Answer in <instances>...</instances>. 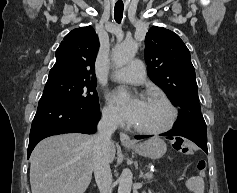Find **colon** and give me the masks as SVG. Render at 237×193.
I'll use <instances>...</instances> for the list:
<instances>
[{
	"mask_svg": "<svg viewBox=\"0 0 237 193\" xmlns=\"http://www.w3.org/2000/svg\"><path fill=\"white\" fill-rule=\"evenodd\" d=\"M172 147L182 153V154H193L194 146L193 143L182 137H175L171 139ZM197 170L201 177H204L206 171V162L204 160H200L197 163Z\"/></svg>",
	"mask_w": 237,
	"mask_h": 193,
	"instance_id": "1",
	"label": "colon"
}]
</instances>
